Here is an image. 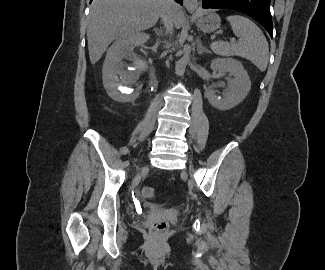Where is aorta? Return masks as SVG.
<instances>
[{"label": "aorta", "mask_w": 325, "mask_h": 270, "mask_svg": "<svg viewBox=\"0 0 325 270\" xmlns=\"http://www.w3.org/2000/svg\"><path fill=\"white\" fill-rule=\"evenodd\" d=\"M190 57V48L189 46H185L183 49V56L182 58L176 63V74L182 76L185 72V68L187 63L189 62Z\"/></svg>", "instance_id": "762f6f07"}]
</instances>
